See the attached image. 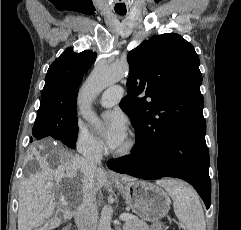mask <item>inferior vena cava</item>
Masks as SVG:
<instances>
[{"label": "inferior vena cava", "instance_id": "1", "mask_svg": "<svg viewBox=\"0 0 241 230\" xmlns=\"http://www.w3.org/2000/svg\"><path fill=\"white\" fill-rule=\"evenodd\" d=\"M100 163V153L93 151L84 153L81 164V172L83 174V199L74 216L78 230H96L97 228V206L93 189L95 170Z\"/></svg>", "mask_w": 241, "mask_h": 230}]
</instances>
